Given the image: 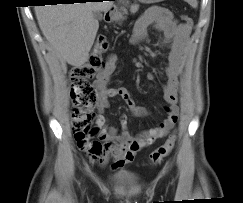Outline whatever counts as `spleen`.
I'll return each mask as SVG.
<instances>
[{
  "label": "spleen",
  "instance_id": "spleen-1",
  "mask_svg": "<svg viewBox=\"0 0 243 203\" xmlns=\"http://www.w3.org/2000/svg\"><path fill=\"white\" fill-rule=\"evenodd\" d=\"M185 1L188 2L193 8H197L198 7L197 0H185Z\"/></svg>",
  "mask_w": 243,
  "mask_h": 203
}]
</instances>
